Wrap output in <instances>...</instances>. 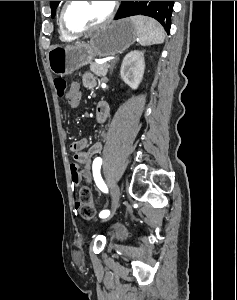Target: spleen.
<instances>
[{"instance_id":"1","label":"spleen","mask_w":237,"mask_h":300,"mask_svg":"<svg viewBox=\"0 0 237 300\" xmlns=\"http://www.w3.org/2000/svg\"><path fill=\"white\" fill-rule=\"evenodd\" d=\"M130 21L136 29L137 37L142 47L164 43L165 31L155 19L138 15V17H130Z\"/></svg>"}]
</instances>
